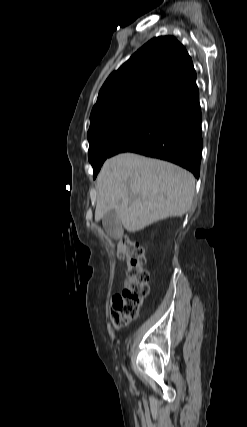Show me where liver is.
Listing matches in <instances>:
<instances>
[{
  "instance_id": "obj_1",
  "label": "liver",
  "mask_w": 247,
  "mask_h": 427,
  "mask_svg": "<svg viewBox=\"0 0 247 427\" xmlns=\"http://www.w3.org/2000/svg\"><path fill=\"white\" fill-rule=\"evenodd\" d=\"M96 181L95 220L114 209L128 232L183 216L192 205L195 191V178L187 170L134 153L106 160Z\"/></svg>"
}]
</instances>
